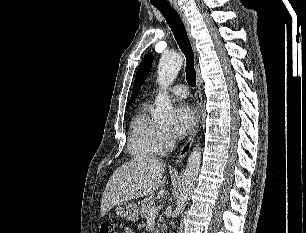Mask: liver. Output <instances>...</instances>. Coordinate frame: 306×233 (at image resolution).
<instances>
[{
  "instance_id": "1",
  "label": "liver",
  "mask_w": 306,
  "mask_h": 233,
  "mask_svg": "<svg viewBox=\"0 0 306 233\" xmlns=\"http://www.w3.org/2000/svg\"><path fill=\"white\" fill-rule=\"evenodd\" d=\"M164 171L165 164L154 158H135L120 166L103 192L101 216L121 202L152 195L165 183Z\"/></svg>"
}]
</instances>
